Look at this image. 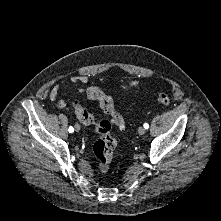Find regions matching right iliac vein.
<instances>
[{
  "label": "right iliac vein",
  "instance_id": "63e3f726",
  "mask_svg": "<svg viewBox=\"0 0 221 221\" xmlns=\"http://www.w3.org/2000/svg\"><path fill=\"white\" fill-rule=\"evenodd\" d=\"M75 130L79 131L80 130V126L78 124L75 125Z\"/></svg>",
  "mask_w": 221,
  "mask_h": 221
}]
</instances>
